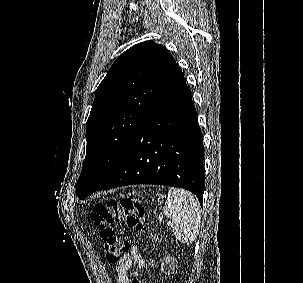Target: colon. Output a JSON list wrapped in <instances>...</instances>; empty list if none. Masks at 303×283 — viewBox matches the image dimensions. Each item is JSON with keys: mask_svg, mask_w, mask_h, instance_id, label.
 <instances>
[{"mask_svg": "<svg viewBox=\"0 0 303 283\" xmlns=\"http://www.w3.org/2000/svg\"><path fill=\"white\" fill-rule=\"evenodd\" d=\"M90 219L98 230L106 258L110 263L117 262L128 247V240L118 229L119 225L123 224L128 229L138 232L147 229L142 204L131 199L110 200L106 203L96 204L90 213ZM131 283L147 282L136 271L133 273Z\"/></svg>", "mask_w": 303, "mask_h": 283, "instance_id": "1", "label": "colon"}]
</instances>
